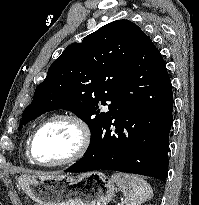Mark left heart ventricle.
I'll list each match as a JSON object with an SVG mask.
<instances>
[{"label": "left heart ventricle", "instance_id": "left-heart-ventricle-1", "mask_svg": "<svg viewBox=\"0 0 199 205\" xmlns=\"http://www.w3.org/2000/svg\"><path fill=\"white\" fill-rule=\"evenodd\" d=\"M79 133L67 121H57L45 127L34 142V156L40 162H54L70 155L78 144Z\"/></svg>", "mask_w": 199, "mask_h": 205}]
</instances>
